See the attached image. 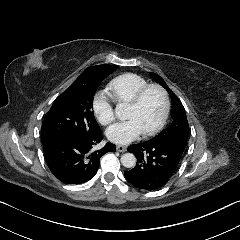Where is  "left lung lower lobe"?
<instances>
[{
    "instance_id": "1",
    "label": "left lung lower lobe",
    "mask_w": 240,
    "mask_h": 240,
    "mask_svg": "<svg viewBox=\"0 0 240 240\" xmlns=\"http://www.w3.org/2000/svg\"><path fill=\"white\" fill-rule=\"evenodd\" d=\"M184 149L182 145L171 142L133 144L128 151L137 157V163L125 172V177L138 189L157 190L175 173Z\"/></svg>"
}]
</instances>
